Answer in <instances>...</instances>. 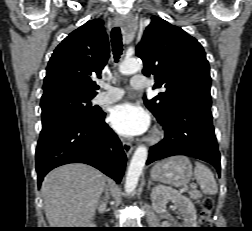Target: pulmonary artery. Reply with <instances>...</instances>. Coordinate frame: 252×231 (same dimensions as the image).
Instances as JSON below:
<instances>
[{"mask_svg": "<svg viewBox=\"0 0 252 231\" xmlns=\"http://www.w3.org/2000/svg\"><path fill=\"white\" fill-rule=\"evenodd\" d=\"M130 84L135 89H142L148 86V82L142 74H137L133 76L130 81ZM101 87L105 88L106 91L98 93L94 98V102L99 105L116 102L121 99L125 93L124 90L121 88L109 87L104 85L103 83L101 84Z\"/></svg>", "mask_w": 252, "mask_h": 231, "instance_id": "e3ab8cb5", "label": "pulmonary artery"}]
</instances>
